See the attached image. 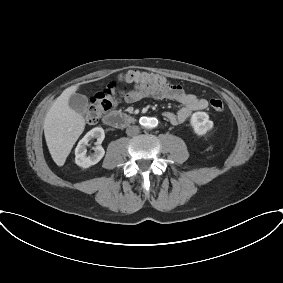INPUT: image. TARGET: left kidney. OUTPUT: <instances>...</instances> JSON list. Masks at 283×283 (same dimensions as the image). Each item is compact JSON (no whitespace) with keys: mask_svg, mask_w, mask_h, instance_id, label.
Returning <instances> with one entry per match:
<instances>
[{"mask_svg":"<svg viewBox=\"0 0 283 283\" xmlns=\"http://www.w3.org/2000/svg\"><path fill=\"white\" fill-rule=\"evenodd\" d=\"M190 123L197 135H204L213 128V122L209 120L206 112L193 113Z\"/></svg>","mask_w":283,"mask_h":283,"instance_id":"obj_1","label":"left kidney"}]
</instances>
